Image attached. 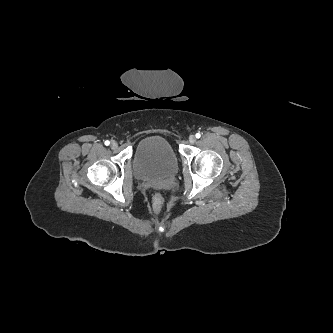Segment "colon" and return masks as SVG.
<instances>
[{"label": "colon", "instance_id": "1", "mask_svg": "<svg viewBox=\"0 0 333 333\" xmlns=\"http://www.w3.org/2000/svg\"><path fill=\"white\" fill-rule=\"evenodd\" d=\"M155 207L157 210H161L163 207V199L160 195L155 196Z\"/></svg>", "mask_w": 333, "mask_h": 333}]
</instances>
